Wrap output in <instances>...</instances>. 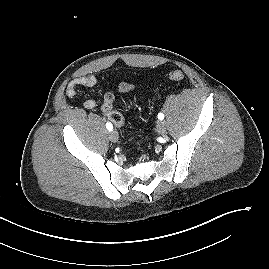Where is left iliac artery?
Segmentation results:
<instances>
[{
	"label": "left iliac artery",
	"mask_w": 269,
	"mask_h": 269,
	"mask_svg": "<svg viewBox=\"0 0 269 269\" xmlns=\"http://www.w3.org/2000/svg\"><path fill=\"white\" fill-rule=\"evenodd\" d=\"M158 119L163 120L164 119V114L163 113H159L158 114Z\"/></svg>",
	"instance_id": "obj_1"
}]
</instances>
